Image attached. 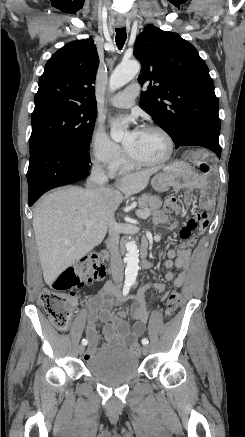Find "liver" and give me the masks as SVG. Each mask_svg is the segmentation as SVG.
Returning <instances> with one entry per match:
<instances>
[{
	"label": "liver",
	"mask_w": 245,
	"mask_h": 437,
	"mask_svg": "<svg viewBox=\"0 0 245 437\" xmlns=\"http://www.w3.org/2000/svg\"><path fill=\"white\" fill-rule=\"evenodd\" d=\"M157 168L127 174L115 188L66 187L46 195L33 212V229L46 284L99 245L114 211L129 196L144 190ZM94 223L87 227L84 221Z\"/></svg>",
	"instance_id": "6515ba94"
}]
</instances>
